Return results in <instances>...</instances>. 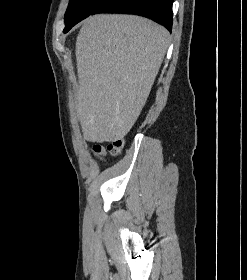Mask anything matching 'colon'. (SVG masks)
Wrapping results in <instances>:
<instances>
[{"label":"colon","instance_id":"colon-1","mask_svg":"<svg viewBox=\"0 0 247 280\" xmlns=\"http://www.w3.org/2000/svg\"><path fill=\"white\" fill-rule=\"evenodd\" d=\"M123 146L122 140H115L111 144H109L107 147H103L100 145H96L93 147V152L97 156H105L106 154H117L120 152L121 148Z\"/></svg>","mask_w":247,"mask_h":280}]
</instances>
